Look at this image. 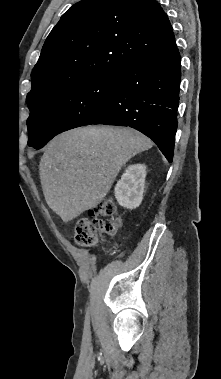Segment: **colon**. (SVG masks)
<instances>
[{"mask_svg": "<svg viewBox=\"0 0 221 379\" xmlns=\"http://www.w3.org/2000/svg\"><path fill=\"white\" fill-rule=\"evenodd\" d=\"M121 225L116 205L110 200L101 201L90 210V218L76 222L74 241L82 247L93 246L103 235L115 234Z\"/></svg>", "mask_w": 221, "mask_h": 379, "instance_id": "1", "label": "colon"}]
</instances>
